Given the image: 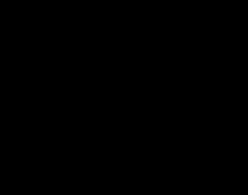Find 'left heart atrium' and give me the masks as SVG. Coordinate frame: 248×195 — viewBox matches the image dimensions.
<instances>
[{
	"label": "left heart atrium",
	"mask_w": 248,
	"mask_h": 195,
	"mask_svg": "<svg viewBox=\"0 0 248 195\" xmlns=\"http://www.w3.org/2000/svg\"><path fill=\"white\" fill-rule=\"evenodd\" d=\"M142 97H143V94L140 93L139 91H134V92H132V94H131V96H130V98H131L132 101L139 100V99H141Z\"/></svg>",
	"instance_id": "left-heart-atrium-1"
}]
</instances>
